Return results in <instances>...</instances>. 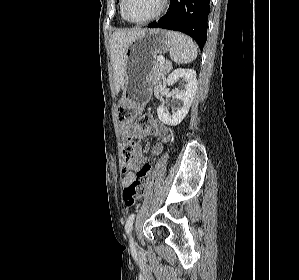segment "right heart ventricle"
I'll return each instance as SVG.
<instances>
[{
    "instance_id": "obj_1",
    "label": "right heart ventricle",
    "mask_w": 299,
    "mask_h": 280,
    "mask_svg": "<svg viewBox=\"0 0 299 280\" xmlns=\"http://www.w3.org/2000/svg\"><path fill=\"white\" fill-rule=\"evenodd\" d=\"M120 9H121V10H120L121 17L124 18V17H123V14H122V2H121V5H120Z\"/></svg>"
}]
</instances>
